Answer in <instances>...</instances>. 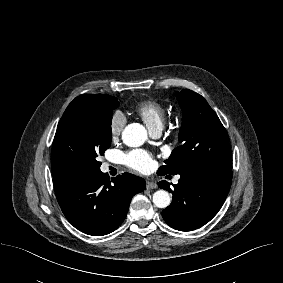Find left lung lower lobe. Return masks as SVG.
<instances>
[{
    "instance_id": "obj_1",
    "label": "left lung lower lobe",
    "mask_w": 283,
    "mask_h": 283,
    "mask_svg": "<svg viewBox=\"0 0 283 283\" xmlns=\"http://www.w3.org/2000/svg\"><path fill=\"white\" fill-rule=\"evenodd\" d=\"M231 182L232 173L213 175L200 172L180 173L174 189L166 181H160L159 187L173 195L170 206L162 212L164 220L180 231H191L205 225L222 207Z\"/></svg>"
}]
</instances>
